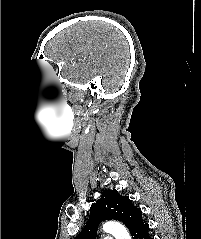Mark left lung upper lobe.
<instances>
[{"label": "left lung upper lobe", "instance_id": "5c2ea615", "mask_svg": "<svg viewBox=\"0 0 201 239\" xmlns=\"http://www.w3.org/2000/svg\"><path fill=\"white\" fill-rule=\"evenodd\" d=\"M106 219L123 222L130 232L144 222L141 209L128 196H121L115 189H105L101 198L92 204L87 224L74 239H96L98 225Z\"/></svg>", "mask_w": 201, "mask_h": 239}]
</instances>
